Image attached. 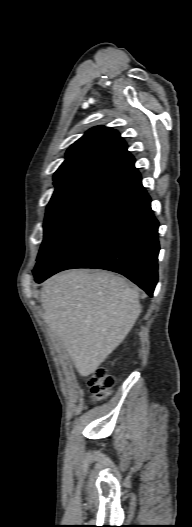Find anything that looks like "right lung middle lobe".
<instances>
[{
    "instance_id": "right-lung-middle-lobe-1",
    "label": "right lung middle lobe",
    "mask_w": 192,
    "mask_h": 527,
    "mask_svg": "<svg viewBox=\"0 0 192 527\" xmlns=\"http://www.w3.org/2000/svg\"><path fill=\"white\" fill-rule=\"evenodd\" d=\"M106 183L87 179L56 188L46 210L44 239L37 257L38 262Z\"/></svg>"
}]
</instances>
